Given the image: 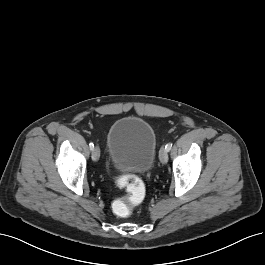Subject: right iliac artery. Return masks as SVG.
I'll use <instances>...</instances> for the list:
<instances>
[{
  "mask_svg": "<svg viewBox=\"0 0 265 265\" xmlns=\"http://www.w3.org/2000/svg\"><path fill=\"white\" fill-rule=\"evenodd\" d=\"M89 147H90L91 150H93L94 149V144L92 142H90L89 143Z\"/></svg>",
  "mask_w": 265,
  "mask_h": 265,
  "instance_id": "82829eb1",
  "label": "right iliac artery"
}]
</instances>
